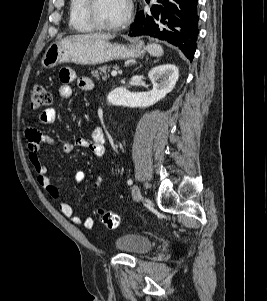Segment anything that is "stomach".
Here are the masks:
<instances>
[{
    "mask_svg": "<svg viewBox=\"0 0 267 301\" xmlns=\"http://www.w3.org/2000/svg\"><path fill=\"white\" fill-rule=\"evenodd\" d=\"M145 53L146 48L141 42L120 45L101 39L76 41L65 38L52 43L47 48L42 57L41 65L46 69L68 62L96 65L115 59L137 58Z\"/></svg>",
    "mask_w": 267,
    "mask_h": 301,
    "instance_id": "1",
    "label": "stomach"
}]
</instances>
